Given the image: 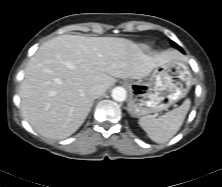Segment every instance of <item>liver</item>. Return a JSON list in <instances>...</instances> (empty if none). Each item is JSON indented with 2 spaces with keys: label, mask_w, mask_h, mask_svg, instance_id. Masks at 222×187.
I'll list each match as a JSON object with an SVG mask.
<instances>
[{
  "label": "liver",
  "mask_w": 222,
  "mask_h": 187,
  "mask_svg": "<svg viewBox=\"0 0 222 187\" xmlns=\"http://www.w3.org/2000/svg\"><path fill=\"white\" fill-rule=\"evenodd\" d=\"M173 59L184 58L176 50L146 54L124 38L57 36L27 64L19 90L23 117L40 135L65 139L89 114L92 86L102 84L107 90L116 78L142 79Z\"/></svg>",
  "instance_id": "obj_1"
}]
</instances>
